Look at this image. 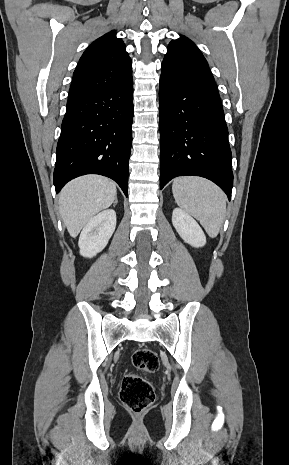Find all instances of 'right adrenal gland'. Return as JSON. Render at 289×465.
<instances>
[{
	"label": "right adrenal gland",
	"mask_w": 289,
	"mask_h": 465,
	"mask_svg": "<svg viewBox=\"0 0 289 465\" xmlns=\"http://www.w3.org/2000/svg\"><path fill=\"white\" fill-rule=\"evenodd\" d=\"M117 203H118V200H117V198H116V199H115V204H117Z\"/></svg>",
	"instance_id": "obj_1"
}]
</instances>
